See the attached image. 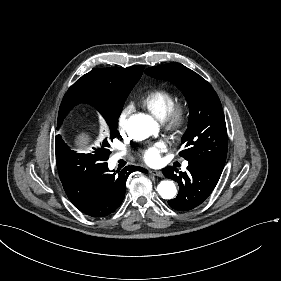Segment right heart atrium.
I'll list each match as a JSON object with an SVG mask.
<instances>
[{
    "mask_svg": "<svg viewBox=\"0 0 281 281\" xmlns=\"http://www.w3.org/2000/svg\"><path fill=\"white\" fill-rule=\"evenodd\" d=\"M129 118H123L118 115L117 125L118 128L125 132L133 140L143 139V129L138 124H128Z\"/></svg>",
    "mask_w": 281,
    "mask_h": 281,
    "instance_id": "1",
    "label": "right heart atrium"
}]
</instances>
